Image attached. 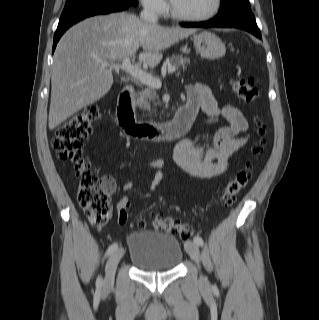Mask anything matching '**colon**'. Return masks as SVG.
I'll return each instance as SVG.
<instances>
[{
  "instance_id": "obj_1",
  "label": "colon",
  "mask_w": 319,
  "mask_h": 320,
  "mask_svg": "<svg viewBox=\"0 0 319 320\" xmlns=\"http://www.w3.org/2000/svg\"><path fill=\"white\" fill-rule=\"evenodd\" d=\"M232 87L235 94L246 103H253L260 96L259 89L252 79H235ZM98 117L99 111L93 106H89L72 116L57 128L52 139V147L58 152L61 159L74 165L75 173L80 178L78 201L89 222L95 226H103L111 218L110 194L115 189V183L109 176L98 177L92 171L90 162L82 152V142L91 135ZM259 132L264 134V128L260 127ZM262 151L263 144L261 142L255 143L251 148L254 156L260 155ZM250 178L251 168L249 165L237 170L220 191L222 205L230 206L236 194L248 184ZM127 219L128 212L122 210L118 213L120 224H125ZM147 225L184 239L193 235V229L190 225L170 216L140 217L136 223L138 228H145Z\"/></svg>"
}]
</instances>
